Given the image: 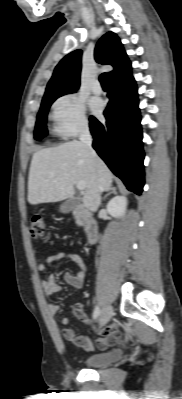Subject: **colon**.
<instances>
[{"label":"colon","mask_w":182,"mask_h":399,"mask_svg":"<svg viewBox=\"0 0 182 399\" xmlns=\"http://www.w3.org/2000/svg\"><path fill=\"white\" fill-rule=\"evenodd\" d=\"M30 234L35 238H45L46 226L43 218L40 215H34L30 223Z\"/></svg>","instance_id":"1"}]
</instances>
